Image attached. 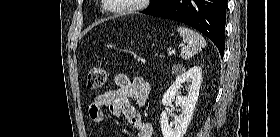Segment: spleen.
I'll use <instances>...</instances> for the list:
<instances>
[{"instance_id":"spleen-1","label":"spleen","mask_w":280,"mask_h":137,"mask_svg":"<svg viewBox=\"0 0 280 137\" xmlns=\"http://www.w3.org/2000/svg\"><path fill=\"white\" fill-rule=\"evenodd\" d=\"M177 31L185 44L181 49L183 59H189L206 46L205 39L196 31L183 26L177 27Z\"/></svg>"}]
</instances>
